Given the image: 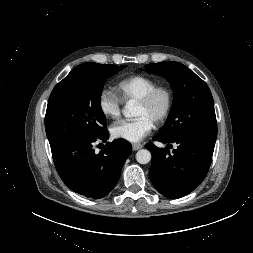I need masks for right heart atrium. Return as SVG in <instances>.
<instances>
[{"label":"right heart atrium","instance_id":"d8ad5b80","mask_svg":"<svg viewBox=\"0 0 253 253\" xmlns=\"http://www.w3.org/2000/svg\"><path fill=\"white\" fill-rule=\"evenodd\" d=\"M98 109L107 118H118L122 112V100L114 92L104 89L98 96Z\"/></svg>","mask_w":253,"mask_h":253}]
</instances>
